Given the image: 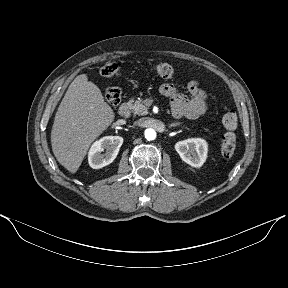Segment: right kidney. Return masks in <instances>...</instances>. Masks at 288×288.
Segmentation results:
<instances>
[{"mask_svg":"<svg viewBox=\"0 0 288 288\" xmlns=\"http://www.w3.org/2000/svg\"><path fill=\"white\" fill-rule=\"evenodd\" d=\"M123 143L120 136H105L93 143L88 154L89 165L93 169H100L109 165L116 158ZM106 151L105 154L101 152Z\"/></svg>","mask_w":288,"mask_h":288,"instance_id":"1","label":"right kidney"}]
</instances>
